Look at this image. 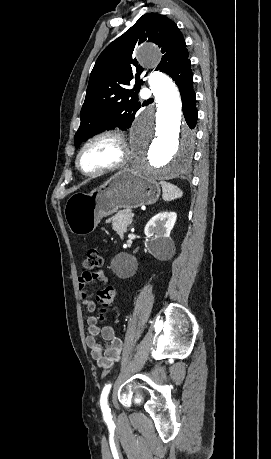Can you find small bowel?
Returning a JSON list of instances; mask_svg holds the SVG:
<instances>
[{
	"label": "small bowel",
	"instance_id": "small-bowel-1",
	"mask_svg": "<svg viewBox=\"0 0 271 459\" xmlns=\"http://www.w3.org/2000/svg\"><path fill=\"white\" fill-rule=\"evenodd\" d=\"M107 281V275L102 270L86 271L79 277V294L87 311L93 312L96 308L94 301L88 296V286L95 282L105 284ZM87 324L86 344L92 358L100 367L110 369L120 359L123 347L121 339L116 336L113 327L100 325L97 317L93 315L87 317ZM98 336L105 341V345L99 342Z\"/></svg>",
	"mask_w": 271,
	"mask_h": 459
}]
</instances>
